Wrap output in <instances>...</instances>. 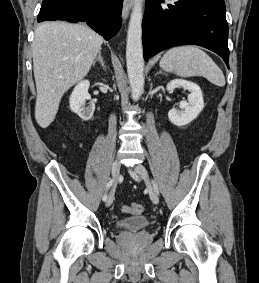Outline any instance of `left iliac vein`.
<instances>
[{"mask_svg": "<svg viewBox=\"0 0 259 283\" xmlns=\"http://www.w3.org/2000/svg\"><path fill=\"white\" fill-rule=\"evenodd\" d=\"M129 173L133 178H136L137 174L144 180L149 191L150 199L154 204H158L159 197L155 189L152 187L146 168L142 164H137L134 168L129 169Z\"/></svg>", "mask_w": 259, "mask_h": 283, "instance_id": "4c4485c4", "label": "left iliac vein"}]
</instances>
